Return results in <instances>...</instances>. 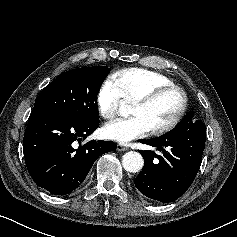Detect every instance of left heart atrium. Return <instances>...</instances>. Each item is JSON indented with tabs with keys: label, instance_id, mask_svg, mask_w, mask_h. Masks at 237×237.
Returning a JSON list of instances; mask_svg holds the SVG:
<instances>
[{
	"label": "left heart atrium",
	"instance_id": "1",
	"mask_svg": "<svg viewBox=\"0 0 237 237\" xmlns=\"http://www.w3.org/2000/svg\"><path fill=\"white\" fill-rule=\"evenodd\" d=\"M149 131L150 129L143 118L136 115L115 119L107 123L103 128V132L107 138L123 144L143 137Z\"/></svg>",
	"mask_w": 237,
	"mask_h": 237
}]
</instances>
